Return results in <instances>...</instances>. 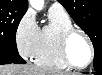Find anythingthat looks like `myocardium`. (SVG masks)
<instances>
[{
    "label": "myocardium",
    "instance_id": "myocardium-1",
    "mask_svg": "<svg viewBox=\"0 0 102 75\" xmlns=\"http://www.w3.org/2000/svg\"><path fill=\"white\" fill-rule=\"evenodd\" d=\"M76 34L82 35L85 38V40L87 41L88 45H89V50H90L89 60L84 65H77L76 63H74L71 56H70V54H69V50H68L69 42L72 39V37L74 35H76ZM58 45H59V52H60L61 58L64 60V62L68 66L84 68L93 59V55H94L93 42L90 39V37L88 36V34L85 31H83L82 29H80V28H77V27L73 26V27H70L67 30H65L62 33V35L60 36Z\"/></svg>",
    "mask_w": 102,
    "mask_h": 75
}]
</instances>
